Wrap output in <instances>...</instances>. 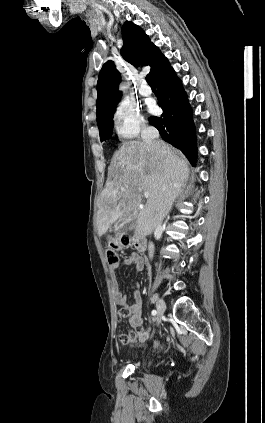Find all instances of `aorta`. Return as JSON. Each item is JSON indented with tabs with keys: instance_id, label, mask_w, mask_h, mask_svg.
<instances>
[{
	"instance_id": "1",
	"label": "aorta",
	"mask_w": 265,
	"mask_h": 423,
	"mask_svg": "<svg viewBox=\"0 0 265 423\" xmlns=\"http://www.w3.org/2000/svg\"><path fill=\"white\" fill-rule=\"evenodd\" d=\"M126 89V87L124 85L120 86V90L124 91Z\"/></svg>"
}]
</instances>
